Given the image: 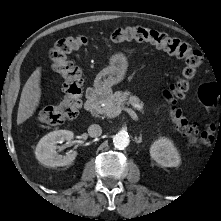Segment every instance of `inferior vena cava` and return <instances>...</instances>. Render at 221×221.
<instances>
[{
  "instance_id": "1",
  "label": "inferior vena cava",
  "mask_w": 221,
  "mask_h": 221,
  "mask_svg": "<svg viewBox=\"0 0 221 221\" xmlns=\"http://www.w3.org/2000/svg\"><path fill=\"white\" fill-rule=\"evenodd\" d=\"M88 134L90 137H99L102 134V129L98 124H92L88 128Z\"/></svg>"
}]
</instances>
